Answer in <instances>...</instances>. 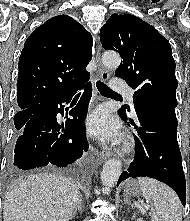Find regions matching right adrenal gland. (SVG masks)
<instances>
[{
  "label": "right adrenal gland",
  "instance_id": "2a0ac1e0",
  "mask_svg": "<svg viewBox=\"0 0 190 221\" xmlns=\"http://www.w3.org/2000/svg\"><path fill=\"white\" fill-rule=\"evenodd\" d=\"M82 208H83V199L81 196H79L77 202H76V205H75V208L73 210V213L71 215V218H74L76 212H81L82 211Z\"/></svg>",
  "mask_w": 190,
  "mask_h": 221
}]
</instances>
